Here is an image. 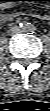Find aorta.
I'll return each mask as SVG.
<instances>
[{
    "mask_svg": "<svg viewBox=\"0 0 50 111\" xmlns=\"http://www.w3.org/2000/svg\"><path fill=\"white\" fill-rule=\"evenodd\" d=\"M22 29H23L24 32H31V31L34 30L33 26L28 24V23L23 24Z\"/></svg>",
    "mask_w": 50,
    "mask_h": 111,
    "instance_id": "762f6f07",
    "label": "aorta"
}]
</instances>
